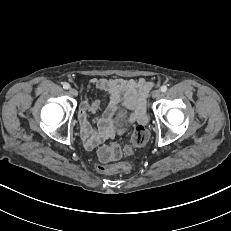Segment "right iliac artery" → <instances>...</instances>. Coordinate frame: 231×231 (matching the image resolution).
<instances>
[{
  "label": "right iliac artery",
  "mask_w": 231,
  "mask_h": 231,
  "mask_svg": "<svg viewBox=\"0 0 231 231\" xmlns=\"http://www.w3.org/2000/svg\"><path fill=\"white\" fill-rule=\"evenodd\" d=\"M63 88H64V89H69V88H70V85H69L68 83H64V84H63Z\"/></svg>",
  "instance_id": "1"
}]
</instances>
